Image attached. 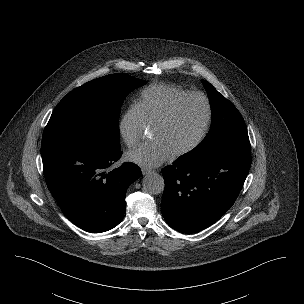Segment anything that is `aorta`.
Instances as JSON below:
<instances>
[{
    "label": "aorta",
    "instance_id": "obj_1",
    "mask_svg": "<svg viewBox=\"0 0 304 304\" xmlns=\"http://www.w3.org/2000/svg\"><path fill=\"white\" fill-rule=\"evenodd\" d=\"M164 179L158 173L147 174L143 178V187L150 194H160L164 190Z\"/></svg>",
    "mask_w": 304,
    "mask_h": 304
}]
</instances>
